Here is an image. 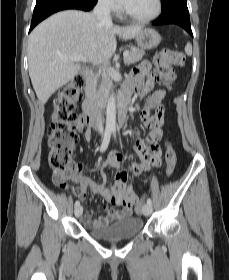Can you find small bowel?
<instances>
[{"label":"small bowel","instance_id":"obj_1","mask_svg":"<svg viewBox=\"0 0 229 280\" xmlns=\"http://www.w3.org/2000/svg\"><path fill=\"white\" fill-rule=\"evenodd\" d=\"M149 70V63L143 62L139 64L135 71L129 76L128 82L123 85V92L127 93L128 96H131L141 90H150L154 85V80L147 76ZM173 81L174 79L163 83L165 88L153 93L150 102L142 113V118L151 126V129L148 134L147 143L140 139L134 140L136 152L142 159L141 164H134L130 167L129 171H125L121 167L123 156L120 153L112 152L100 166L102 183H95L91 179L84 177L82 175L83 169L80 165L71 164L68 167L67 173L71 180L78 183V187L73 191L76 197L85 201L88 197V192H90L93 195L101 196L104 200L110 203L109 206H104L106 215L103 217L93 219L90 211L85 212L83 215V221L86 227H105L118 218L128 217L132 214V205L129 204L128 201L136 196L132 186L126 185V182L131 175H142L149 170L152 160L154 159L152 151L156 148L157 142L162 135L160 123L163 119V108L161 102L166 97L167 91L170 89ZM153 109H156L155 116L160 118V122L157 125H151V121L154 117L151 115ZM84 137L87 141H91L92 132L90 130L85 131ZM108 167L118 168L115 175L116 183L109 186L105 184L109 178L106 172ZM114 206H121L122 209L117 211Z\"/></svg>","mask_w":229,"mask_h":280}]
</instances>
